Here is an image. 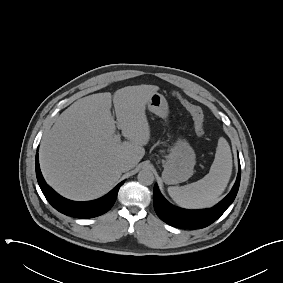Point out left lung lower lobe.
<instances>
[{
	"instance_id": "1",
	"label": "left lung lower lobe",
	"mask_w": 283,
	"mask_h": 283,
	"mask_svg": "<svg viewBox=\"0 0 283 283\" xmlns=\"http://www.w3.org/2000/svg\"><path fill=\"white\" fill-rule=\"evenodd\" d=\"M241 167L237 180L230 193L216 206L204 210H186L175 207L163 198L157 184L154 185L153 204L154 209L161 220L165 223L182 229L204 228L217 220L234 201L240 184Z\"/></svg>"
}]
</instances>
